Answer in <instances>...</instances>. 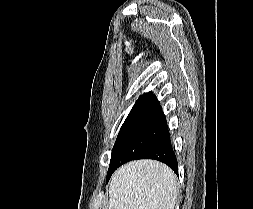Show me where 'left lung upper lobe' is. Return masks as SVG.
<instances>
[{
	"label": "left lung upper lobe",
	"mask_w": 253,
	"mask_h": 209,
	"mask_svg": "<svg viewBox=\"0 0 253 209\" xmlns=\"http://www.w3.org/2000/svg\"><path fill=\"white\" fill-rule=\"evenodd\" d=\"M166 128L165 115L157 98L151 92L141 95L120 129L110 164L138 154Z\"/></svg>",
	"instance_id": "left-lung-upper-lobe-1"
}]
</instances>
